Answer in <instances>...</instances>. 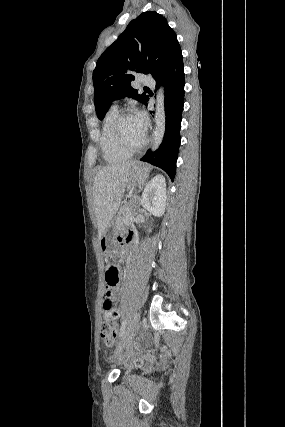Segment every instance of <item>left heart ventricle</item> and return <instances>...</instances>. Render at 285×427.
<instances>
[{
  "label": "left heart ventricle",
  "mask_w": 285,
  "mask_h": 427,
  "mask_svg": "<svg viewBox=\"0 0 285 427\" xmlns=\"http://www.w3.org/2000/svg\"><path fill=\"white\" fill-rule=\"evenodd\" d=\"M122 133L126 142L132 146L140 144L146 136L136 117H129L123 122Z\"/></svg>",
  "instance_id": "b2bd125f"
}]
</instances>
